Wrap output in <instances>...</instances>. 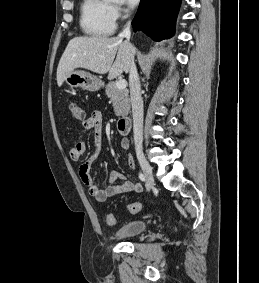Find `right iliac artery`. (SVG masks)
<instances>
[{
  "label": "right iliac artery",
  "instance_id": "obj_1",
  "mask_svg": "<svg viewBox=\"0 0 259 283\" xmlns=\"http://www.w3.org/2000/svg\"><path fill=\"white\" fill-rule=\"evenodd\" d=\"M139 178L141 181L145 182L146 181V178L145 176L142 174V173H139Z\"/></svg>",
  "mask_w": 259,
  "mask_h": 283
}]
</instances>
